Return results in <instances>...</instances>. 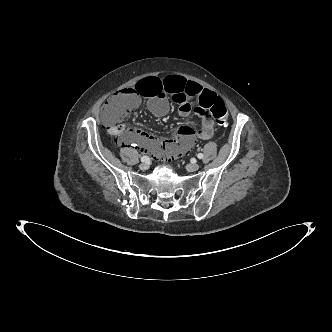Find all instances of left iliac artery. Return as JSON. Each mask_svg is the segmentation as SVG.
I'll use <instances>...</instances> for the list:
<instances>
[{
  "label": "left iliac artery",
  "instance_id": "obj_1",
  "mask_svg": "<svg viewBox=\"0 0 332 332\" xmlns=\"http://www.w3.org/2000/svg\"><path fill=\"white\" fill-rule=\"evenodd\" d=\"M197 157H198L199 159H202V158L204 157V155H203L202 153H199V154L197 155Z\"/></svg>",
  "mask_w": 332,
  "mask_h": 332
}]
</instances>
